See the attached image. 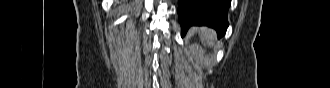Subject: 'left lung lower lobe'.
I'll use <instances>...</instances> for the list:
<instances>
[{"mask_svg":"<svg viewBox=\"0 0 330 88\" xmlns=\"http://www.w3.org/2000/svg\"><path fill=\"white\" fill-rule=\"evenodd\" d=\"M231 0H179L178 15L182 36L190 26H209L225 35L229 26L227 13Z\"/></svg>","mask_w":330,"mask_h":88,"instance_id":"0a47b994","label":"left lung lower lobe"}]
</instances>
